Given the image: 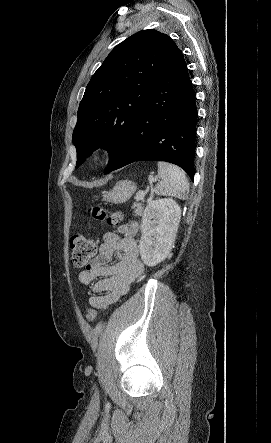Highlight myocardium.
<instances>
[{"label":"myocardium","mask_w":271,"mask_h":443,"mask_svg":"<svg viewBox=\"0 0 271 443\" xmlns=\"http://www.w3.org/2000/svg\"><path fill=\"white\" fill-rule=\"evenodd\" d=\"M111 157V148L104 143L93 145L86 153L85 163L90 168L102 167Z\"/></svg>","instance_id":"myocardium-1"}]
</instances>
